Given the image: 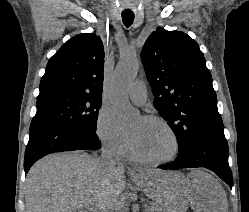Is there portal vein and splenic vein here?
<instances>
[{
    "label": "portal vein and splenic vein",
    "instance_id": "1",
    "mask_svg": "<svg viewBox=\"0 0 249 212\" xmlns=\"http://www.w3.org/2000/svg\"><path fill=\"white\" fill-rule=\"evenodd\" d=\"M84 212H96V210H94V208H92V206H87V208H85Z\"/></svg>",
    "mask_w": 249,
    "mask_h": 212
}]
</instances>
